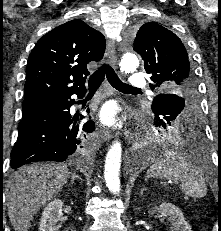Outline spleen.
Listing matches in <instances>:
<instances>
[{
  "label": "spleen",
  "instance_id": "obj_1",
  "mask_svg": "<svg viewBox=\"0 0 221 231\" xmlns=\"http://www.w3.org/2000/svg\"><path fill=\"white\" fill-rule=\"evenodd\" d=\"M147 177L180 181L182 192L192 198H202L207 193L202 172L186 157L180 155H166L154 161L147 171Z\"/></svg>",
  "mask_w": 221,
  "mask_h": 231
}]
</instances>
